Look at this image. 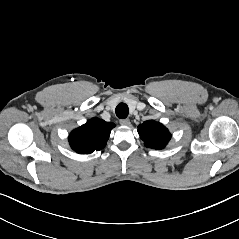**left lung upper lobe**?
<instances>
[{
    "instance_id": "left-lung-upper-lobe-1",
    "label": "left lung upper lobe",
    "mask_w": 239,
    "mask_h": 239,
    "mask_svg": "<svg viewBox=\"0 0 239 239\" xmlns=\"http://www.w3.org/2000/svg\"><path fill=\"white\" fill-rule=\"evenodd\" d=\"M138 133L145 146L153 149H163L171 139L168 129L154 120H148L140 124Z\"/></svg>"
}]
</instances>
